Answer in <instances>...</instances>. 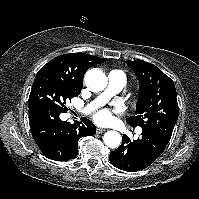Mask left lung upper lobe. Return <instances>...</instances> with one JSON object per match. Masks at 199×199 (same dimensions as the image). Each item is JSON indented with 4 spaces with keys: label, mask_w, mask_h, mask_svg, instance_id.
<instances>
[{
    "label": "left lung upper lobe",
    "mask_w": 199,
    "mask_h": 199,
    "mask_svg": "<svg viewBox=\"0 0 199 199\" xmlns=\"http://www.w3.org/2000/svg\"><path fill=\"white\" fill-rule=\"evenodd\" d=\"M140 83L137 116L127 119L132 126L159 133L170 139L179 116L176 88L171 78L145 61H126Z\"/></svg>",
    "instance_id": "5c2ea615"
}]
</instances>
